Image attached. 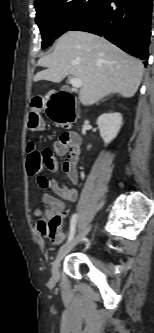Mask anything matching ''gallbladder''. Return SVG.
Listing matches in <instances>:
<instances>
[{
	"label": "gallbladder",
	"mask_w": 154,
	"mask_h": 333,
	"mask_svg": "<svg viewBox=\"0 0 154 333\" xmlns=\"http://www.w3.org/2000/svg\"><path fill=\"white\" fill-rule=\"evenodd\" d=\"M61 89H62V90H66V87H62Z\"/></svg>",
	"instance_id": "obj_1"
}]
</instances>
